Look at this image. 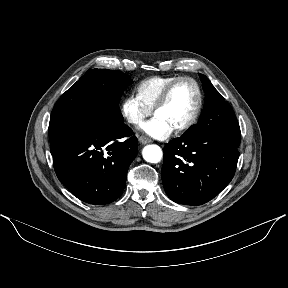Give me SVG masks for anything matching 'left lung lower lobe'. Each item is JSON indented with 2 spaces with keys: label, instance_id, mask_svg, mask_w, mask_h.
<instances>
[{
  "label": "left lung lower lobe",
  "instance_id": "1",
  "mask_svg": "<svg viewBox=\"0 0 288 288\" xmlns=\"http://www.w3.org/2000/svg\"><path fill=\"white\" fill-rule=\"evenodd\" d=\"M237 145L213 134L183 135L164 147L162 182L168 197L179 204L202 205L232 180Z\"/></svg>",
  "mask_w": 288,
  "mask_h": 288
}]
</instances>
